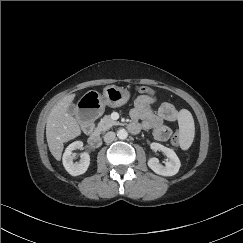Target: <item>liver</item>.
Segmentation results:
<instances>
[{
	"label": "liver",
	"mask_w": 243,
	"mask_h": 243,
	"mask_svg": "<svg viewBox=\"0 0 243 243\" xmlns=\"http://www.w3.org/2000/svg\"><path fill=\"white\" fill-rule=\"evenodd\" d=\"M69 94L62 98L50 111L46 122V138L49 150L56 160L61 159L64 143L81 134L77 120L67 112L75 98Z\"/></svg>",
	"instance_id": "obj_1"
}]
</instances>
